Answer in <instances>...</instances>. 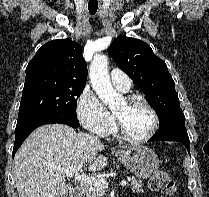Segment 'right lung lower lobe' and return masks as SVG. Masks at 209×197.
Masks as SVG:
<instances>
[{"label": "right lung lower lobe", "instance_id": "98d812e1", "mask_svg": "<svg viewBox=\"0 0 209 197\" xmlns=\"http://www.w3.org/2000/svg\"><path fill=\"white\" fill-rule=\"evenodd\" d=\"M51 123H62L67 124L71 127H79V121L77 118L61 115V114H46L41 116L32 117L21 122H17L15 129V142L12 157H14L15 152L21 146L23 141L28 137V135L37 127L44 124Z\"/></svg>", "mask_w": 209, "mask_h": 197}]
</instances>
